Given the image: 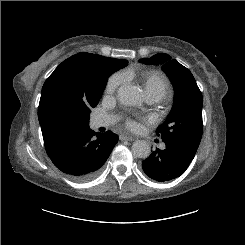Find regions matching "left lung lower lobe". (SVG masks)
Wrapping results in <instances>:
<instances>
[{"label":"left lung lower lobe","instance_id":"left-lung-lower-lobe-1","mask_svg":"<svg viewBox=\"0 0 245 245\" xmlns=\"http://www.w3.org/2000/svg\"><path fill=\"white\" fill-rule=\"evenodd\" d=\"M164 150L156 149L142 162L144 172L152 179L164 182L181 176L191 161L195 153L180 143L164 142Z\"/></svg>","mask_w":245,"mask_h":245}]
</instances>
